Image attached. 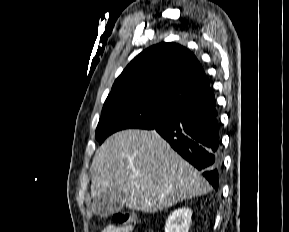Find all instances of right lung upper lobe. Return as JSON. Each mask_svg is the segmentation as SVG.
Instances as JSON below:
<instances>
[{"mask_svg": "<svg viewBox=\"0 0 289 232\" xmlns=\"http://www.w3.org/2000/svg\"><path fill=\"white\" fill-rule=\"evenodd\" d=\"M114 97H143L179 109L215 99L195 55L166 42L147 48L128 64L107 99Z\"/></svg>", "mask_w": 289, "mask_h": 232, "instance_id": "1", "label": "right lung upper lobe"}]
</instances>
